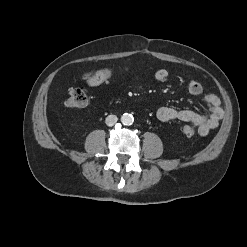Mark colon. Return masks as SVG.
<instances>
[{"instance_id":"1","label":"colon","mask_w":247,"mask_h":247,"mask_svg":"<svg viewBox=\"0 0 247 247\" xmlns=\"http://www.w3.org/2000/svg\"><path fill=\"white\" fill-rule=\"evenodd\" d=\"M113 75L110 69H99L92 72L86 80L87 86L96 87L108 82ZM90 97L84 87L72 88L65 99V105L69 108H81L88 105ZM183 132L187 136H192L196 132L194 124H188L183 127Z\"/></svg>"}]
</instances>
